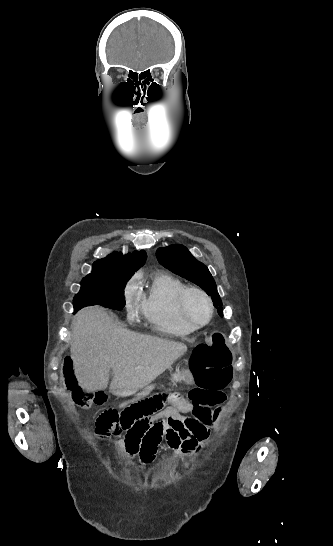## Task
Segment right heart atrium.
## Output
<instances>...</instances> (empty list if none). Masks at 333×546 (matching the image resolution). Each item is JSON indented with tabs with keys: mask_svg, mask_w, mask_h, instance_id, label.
I'll list each match as a JSON object with an SVG mask.
<instances>
[{
	"mask_svg": "<svg viewBox=\"0 0 333 546\" xmlns=\"http://www.w3.org/2000/svg\"><path fill=\"white\" fill-rule=\"evenodd\" d=\"M135 287H136L135 281L131 280L125 288V304H126V309L128 311L129 316H131L133 313L132 301H133Z\"/></svg>",
	"mask_w": 333,
	"mask_h": 546,
	"instance_id": "d8ad5b80",
	"label": "right heart atrium"
}]
</instances>
